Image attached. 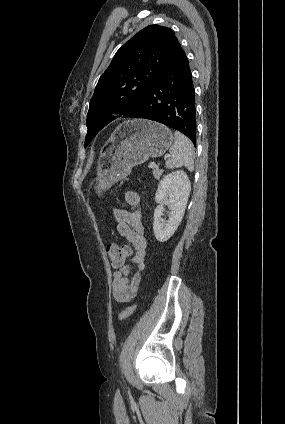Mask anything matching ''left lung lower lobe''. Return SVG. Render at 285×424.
Instances as JSON below:
<instances>
[{"label": "left lung lower lobe", "instance_id": "left-lung-lower-lobe-1", "mask_svg": "<svg viewBox=\"0 0 285 424\" xmlns=\"http://www.w3.org/2000/svg\"><path fill=\"white\" fill-rule=\"evenodd\" d=\"M124 113V117L149 119L172 127L195 145V89L188 59L179 43L158 79Z\"/></svg>", "mask_w": 285, "mask_h": 424}]
</instances>
